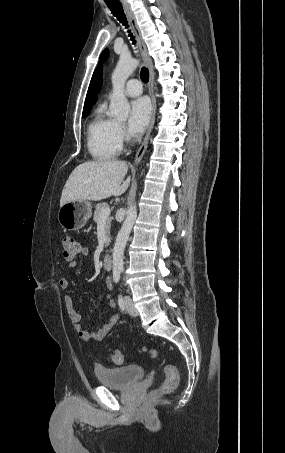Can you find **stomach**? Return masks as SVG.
<instances>
[{"label": "stomach", "mask_w": 285, "mask_h": 453, "mask_svg": "<svg viewBox=\"0 0 285 453\" xmlns=\"http://www.w3.org/2000/svg\"><path fill=\"white\" fill-rule=\"evenodd\" d=\"M92 214V206L88 200H76L60 206L58 221L65 230L81 229Z\"/></svg>", "instance_id": "1"}]
</instances>
